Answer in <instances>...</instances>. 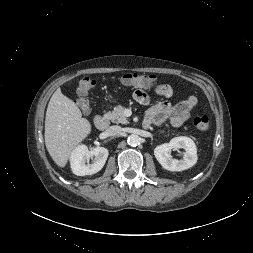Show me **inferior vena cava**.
<instances>
[{
  "label": "inferior vena cava",
  "instance_id": "obj_1",
  "mask_svg": "<svg viewBox=\"0 0 253 253\" xmlns=\"http://www.w3.org/2000/svg\"><path fill=\"white\" fill-rule=\"evenodd\" d=\"M122 132V128L117 125L110 126L106 129V134L108 136H117Z\"/></svg>",
  "mask_w": 253,
  "mask_h": 253
}]
</instances>
